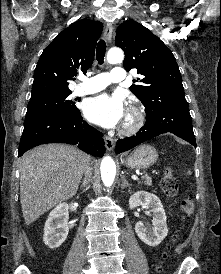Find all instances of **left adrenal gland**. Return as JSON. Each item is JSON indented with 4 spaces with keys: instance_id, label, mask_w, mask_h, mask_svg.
Listing matches in <instances>:
<instances>
[{
    "instance_id": "obj_1",
    "label": "left adrenal gland",
    "mask_w": 221,
    "mask_h": 274,
    "mask_svg": "<svg viewBox=\"0 0 221 274\" xmlns=\"http://www.w3.org/2000/svg\"><path fill=\"white\" fill-rule=\"evenodd\" d=\"M132 184H129L128 181L125 179L124 176H122V184H121V188L125 189L126 187H131Z\"/></svg>"
}]
</instances>
